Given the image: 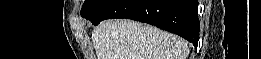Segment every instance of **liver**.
<instances>
[{
  "instance_id": "1",
  "label": "liver",
  "mask_w": 261,
  "mask_h": 59,
  "mask_svg": "<svg viewBox=\"0 0 261 59\" xmlns=\"http://www.w3.org/2000/svg\"><path fill=\"white\" fill-rule=\"evenodd\" d=\"M97 59H186V42L132 20H106L92 32Z\"/></svg>"
}]
</instances>
